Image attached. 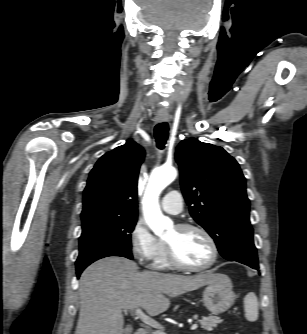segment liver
Returning <instances> with one entry per match:
<instances>
[{
	"mask_svg": "<svg viewBox=\"0 0 307 334\" xmlns=\"http://www.w3.org/2000/svg\"><path fill=\"white\" fill-rule=\"evenodd\" d=\"M214 280L212 272L194 276L140 272L132 260L103 258L88 266L80 277V312L75 334H123V310L141 307L150 316H157L169 308V297Z\"/></svg>",
	"mask_w": 307,
	"mask_h": 334,
	"instance_id": "1",
	"label": "liver"
}]
</instances>
